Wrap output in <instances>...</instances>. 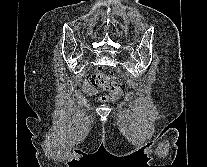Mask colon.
I'll return each mask as SVG.
<instances>
[{
  "instance_id": "colon-1",
  "label": "colon",
  "mask_w": 207,
  "mask_h": 167,
  "mask_svg": "<svg viewBox=\"0 0 207 167\" xmlns=\"http://www.w3.org/2000/svg\"><path fill=\"white\" fill-rule=\"evenodd\" d=\"M91 81L95 87L103 88L104 90L110 92L113 96H118L122 92L121 82L115 76L98 72L92 76Z\"/></svg>"
}]
</instances>
